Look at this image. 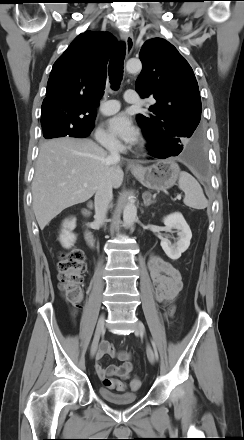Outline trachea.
<instances>
[{
  "mask_svg": "<svg viewBox=\"0 0 244 440\" xmlns=\"http://www.w3.org/2000/svg\"><path fill=\"white\" fill-rule=\"evenodd\" d=\"M124 59L125 44L121 42L116 51L113 53L108 67L110 83L113 90H118L122 81Z\"/></svg>",
  "mask_w": 244,
  "mask_h": 440,
  "instance_id": "trachea-1",
  "label": "trachea"
}]
</instances>
